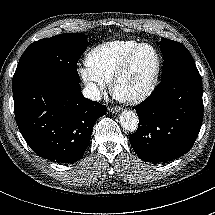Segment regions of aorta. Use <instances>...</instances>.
<instances>
[{"mask_svg": "<svg viewBox=\"0 0 215 215\" xmlns=\"http://www.w3.org/2000/svg\"><path fill=\"white\" fill-rule=\"evenodd\" d=\"M119 120L121 126L127 131L134 132L138 128L139 118L134 111H123Z\"/></svg>", "mask_w": 215, "mask_h": 215, "instance_id": "aorta-1", "label": "aorta"}]
</instances>
